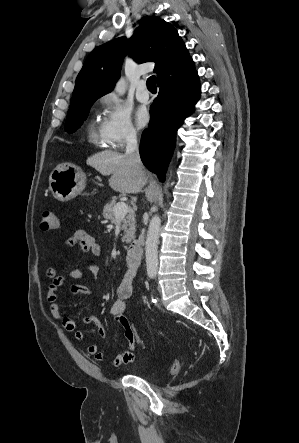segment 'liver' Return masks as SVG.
Here are the masks:
<instances>
[{"label":"liver","mask_w":299,"mask_h":443,"mask_svg":"<svg viewBox=\"0 0 299 443\" xmlns=\"http://www.w3.org/2000/svg\"><path fill=\"white\" fill-rule=\"evenodd\" d=\"M86 163L102 175H110L109 186L115 192L139 193L148 181L144 168H137L128 156L119 152L104 150L88 157Z\"/></svg>","instance_id":"obj_1"}]
</instances>
